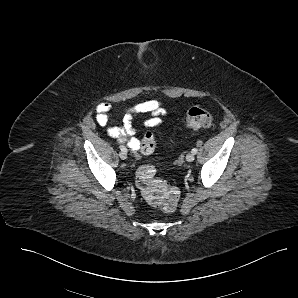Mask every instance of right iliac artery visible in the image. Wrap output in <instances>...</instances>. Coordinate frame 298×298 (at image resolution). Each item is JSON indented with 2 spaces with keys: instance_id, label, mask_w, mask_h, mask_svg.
Masks as SVG:
<instances>
[{
  "instance_id": "right-iliac-artery-1",
  "label": "right iliac artery",
  "mask_w": 298,
  "mask_h": 298,
  "mask_svg": "<svg viewBox=\"0 0 298 298\" xmlns=\"http://www.w3.org/2000/svg\"><path fill=\"white\" fill-rule=\"evenodd\" d=\"M119 148L121 151L127 152V148L125 146L121 145Z\"/></svg>"
}]
</instances>
